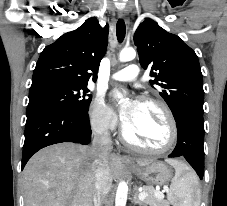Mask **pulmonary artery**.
<instances>
[{"mask_svg":"<svg viewBox=\"0 0 227 206\" xmlns=\"http://www.w3.org/2000/svg\"><path fill=\"white\" fill-rule=\"evenodd\" d=\"M140 75V69L137 65L131 64L124 69L112 74L111 79L119 82H131L136 80Z\"/></svg>","mask_w":227,"mask_h":206,"instance_id":"obj_1","label":"pulmonary artery"}]
</instances>
